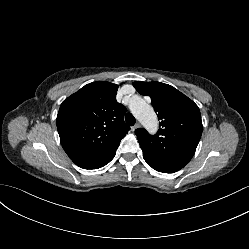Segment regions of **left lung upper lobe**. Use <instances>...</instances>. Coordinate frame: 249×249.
Instances as JSON below:
<instances>
[{
  "label": "left lung upper lobe",
  "instance_id": "5c2ea615",
  "mask_svg": "<svg viewBox=\"0 0 249 249\" xmlns=\"http://www.w3.org/2000/svg\"><path fill=\"white\" fill-rule=\"evenodd\" d=\"M141 94L151 98L158 113L159 130L150 135L135 130L145 161L183 168L193 157L202 134L198 106L174 87L160 82H134Z\"/></svg>",
  "mask_w": 249,
  "mask_h": 249
}]
</instances>
